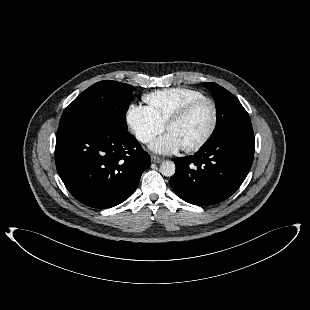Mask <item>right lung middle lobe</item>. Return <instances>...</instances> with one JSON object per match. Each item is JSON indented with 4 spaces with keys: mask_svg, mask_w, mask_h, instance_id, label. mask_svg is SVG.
Instances as JSON below:
<instances>
[{
    "mask_svg": "<svg viewBox=\"0 0 310 310\" xmlns=\"http://www.w3.org/2000/svg\"><path fill=\"white\" fill-rule=\"evenodd\" d=\"M133 86L100 81L83 91L64 111L60 126L81 123L112 133L127 132L126 112L133 99Z\"/></svg>",
    "mask_w": 310,
    "mask_h": 310,
    "instance_id": "1",
    "label": "right lung middle lobe"
}]
</instances>
